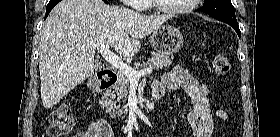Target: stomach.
<instances>
[{
  "label": "stomach",
  "instance_id": "1",
  "mask_svg": "<svg viewBox=\"0 0 280 137\" xmlns=\"http://www.w3.org/2000/svg\"><path fill=\"white\" fill-rule=\"evenodd\" d=\"M153 48L161 55L177 53L183 46L181 32L171 25H161L151 34Z\"/></svg>",
  "mask_w": 280,
  "mask_h": 137
}]
</instances>
